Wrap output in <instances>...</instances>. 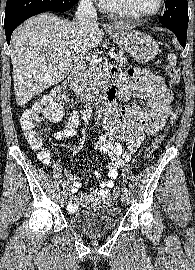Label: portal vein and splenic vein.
I'll return each instance as SVG.
<instances>
[{
	"label": "portal vein and splenic vein",
	"instance_id": "1",
	"mask_svg": "<svg viewBox=\"0 0 195 270\" xmlns=\"http://www.w3.org/2000/svg\"><path fill=\"white\" fill-rule=\"evenodd\" d=\"M109 56H110L111 58H113V57H116V54H115L114 52H109ZM93 58L95 59L96 56H93Z\"/></svg>",
	"mask_w": 195,
	"mask_h": 270
}]
</instances>
